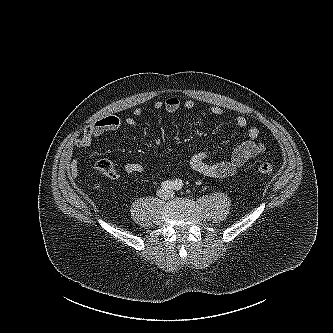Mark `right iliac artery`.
<instances>
[{"mask_svg": "<svg viewBox=\"0 0 333 333\" xmlns=\"http://www.w3.org/2000/svg\"><path fill=\"white\" fill-rule=\"evenodd\" d=\"M161 187L165 190H171L174 188V182L169 180L164 181L162 182Z\"/></svg>", "mask_w": 333, "mask_h": 333, "instance_id": "right-iliac-artery-1", "label": "right iliac artery"}]
</instances>
